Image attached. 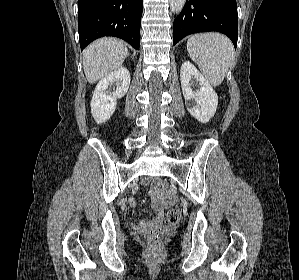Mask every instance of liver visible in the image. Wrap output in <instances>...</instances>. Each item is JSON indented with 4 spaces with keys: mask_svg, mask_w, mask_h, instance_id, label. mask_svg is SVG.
<instances>
[{
    "mask_svg": "<svg viewBox=\"0 0 299 280\" xmlns=\"http://www.w3.org/2000/svg\"><path fill=\"white\" fill-rule=\"evenodd\" d=\"M128 55L126 45L115 38H102L83 51V69L89 83H95L120 68Z\"/></svg>",
    "mask_w": 299,
    "mask_h": 280,
    "instance_id": "liver-1",
    "label": "liver"
}]
</instances>
